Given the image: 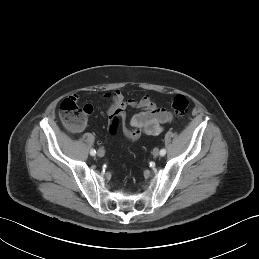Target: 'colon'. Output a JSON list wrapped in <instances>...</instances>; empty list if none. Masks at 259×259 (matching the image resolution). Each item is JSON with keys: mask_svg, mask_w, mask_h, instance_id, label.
<instances>
[{"mask_svg": "<svg viewBox=\"0 0 259 259\" xmlns=\"http://www.w3.org/2000/svg\"><path fill=\"white\" fill-rule=\"evenodd\" d=\"M171 107L175 114L184 115L188 111L189 101L184 95H176L172 102ZM59 117L62 123L69 129L78 131L82 129L86 122L85 105L80 106L73 96L63 99L59 105ZM121 121L120 115H114L108 124V132L111 136L117 134Z\"/></svg>", "mask_w": 259, "mask_h": 259, "instance_id": "1", "label": "colon"}]
</instances>
